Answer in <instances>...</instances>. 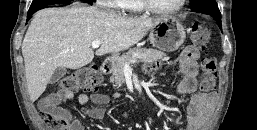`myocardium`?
Instances as JSON below:
<instances>
[{
  "instance_id": "myocardium-1",
  "label": "myocardium",
  "mask_w": 257,
  "mask_h": 130,
  "mask_svg": "<svg viewBox=\"0 0 257 130\" xmlns=\"http://www.w3.org/2000/svg\"><path fill=\"white\" fill-rule=\"evenodd\" d=\"M187 0H180L177 6L170 8V9H162L156 7L151 0H139L142 8L145 11L150 13L159 14V15H172L179 12L186 4Z\"/></svg>"
}]
</instances>
